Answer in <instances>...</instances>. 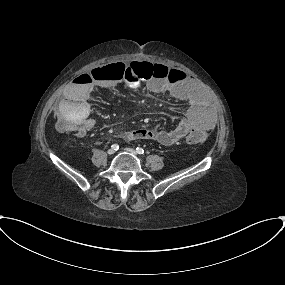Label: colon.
Masks as SVG:
<instances>
[{
    "mask_svg": "<svg viewBox=\"0 0 285 285\" xmlns=\"http://www.w3.org/2000/svg\"><path fill=\"white\" fill-rule=\"evenodd\" d=\"M110 71H117V73L122 76L124 66L122 64H112L108 67ZM128 71L133 73L139 80L142 81H150L152 79H157L165 82H177L181 81L185 78L184 73L168 68L162 64H153L145 61L133 62ZM103 73L94 70L87 72H79L76 76V81L82 84H89L93 81V79H101L103 78ZM59 127L62 130L70 131L77 130L79 119L69 118L67 116H61L59 118ZM207 139V136L204 132L200 130L192 131L187 137L186 142L191 144L203 143Z\"/></svg>",
    "mask_w": 285,
    "mask_h": 285,
    "instance_id": "1",
    "label": "colon"
}]
</instances>
